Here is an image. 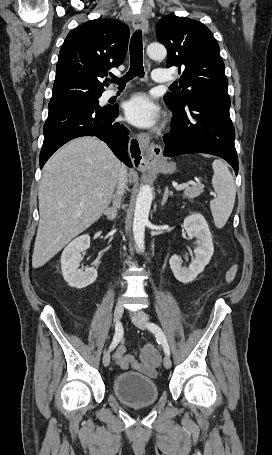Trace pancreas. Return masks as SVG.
<instances>
[{"instance_id": "obj_1", "label": "pancreas", "mask_w": 272, "mask_h": 455, "mask_svg": "<svg viewBox=\"0 0 272 455\" xmlns=\"http://www.w3.org/2000/svg\"><path fill=\"white\" fill-rule=\"evenodd\" d=\"M204 186L202 185H194L192 187H187L184 190L183 196L184 198L194 199L198 197L201 193H203Z\"/></svg>"}]
</instances>
